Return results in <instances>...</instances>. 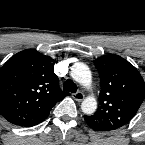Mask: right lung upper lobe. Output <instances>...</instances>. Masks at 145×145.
Here are the masks:
<instances>
[{
    "label": "right lung upper lobe",
    "instance_id": "right-lung-upper-lobe-1",
    "mask_svg": "<svg viewBox=\"0 0 145 145\" xmlns=\"http://www.w3.org/2000/svg\"><path fill=\"white\" fill-rule=\"evenodd\" d=\"M55 59L27 49L0 69V113L10 123L30 127L45 120L50 109L69 93L58 86Z\"/></svg>",
    "mask_w": 145,
    "mask_h": 145
}]
</instances>
